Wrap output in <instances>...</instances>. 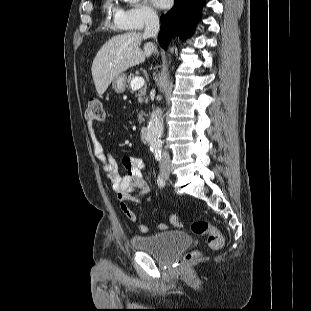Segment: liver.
Masks as SVG:
<instances>
[{
    "label": "liver",
    "instance_id": "1",
    "mask_svg": "<svg viewBox=\"0 0 311 311\" xmlns=\"http://www.w3.org/2000/svg\"><path fill=\"white\" fill-rule=\"evenodd\" d=\"M147 37L139 32H128L108 40L96 54L92 63V77L98 94L102 95L110 83L130 67L139 65L157 53L156 46L141 42Z\"/></svg>",
    "mask_w": 311,
    "mask_h": 311
}]
</instances>
